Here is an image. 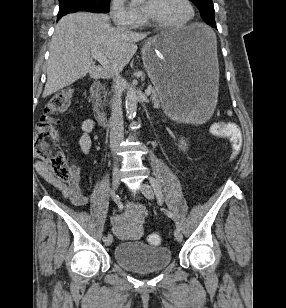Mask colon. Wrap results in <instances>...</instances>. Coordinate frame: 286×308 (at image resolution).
Wrapping results in <instances>:
<instances>
[{"label": "colon", "instance_id": "1", "mask_svg": "<svg viewBox=\"0 0 286 308\" xmlns=\"http://www.w3.org/2000/svg\"><path fill=\"white\" fill-rule=\"evenodd\" d=\"M72 97L73 90L71 88H64L56 92L48 101L45 112L37 122L34 131L37 155L46 162L50 172L62 181L70 180L72 171L58 144V116L68 110ZM212 131L218 136H228L230 126L223 122L214 123ZM230 141L233 148L232 156L236 157L241 149V140L232 139ZM148 242L153 246H158L162 243V237L159 233H152L148 236Z\"/></svg>", "mask_w": 286, "mask_h": 308}]
</instances>
